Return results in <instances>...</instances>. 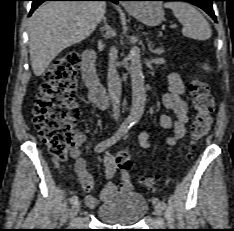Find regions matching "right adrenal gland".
I'll use <instances>...</instances> for the list:
<instances>
[{
	"mask_svg": "<svg viewBox=\"0 0 234 231\" xmlns=\"http://www.w3.org/2000/svg\"><path fill=\"white\" fill-rule=\"evenodd\" d=\"M100 31L102 32L105 38L114 35V30L109 26L107 19L105 17L103 18V26L100 28Z\"/></svg>",
	"mask_w": 234,
	"mask_h": 231,
	"instance_id": "2a0ac1e0",
	"label": "right adrenal gland"
}]
</instances>
